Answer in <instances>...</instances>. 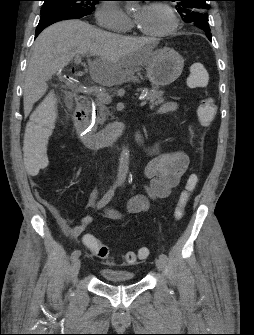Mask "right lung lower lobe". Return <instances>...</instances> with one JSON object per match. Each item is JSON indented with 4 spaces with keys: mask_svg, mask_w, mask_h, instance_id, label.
Listing matches in <instances>:
<instances>
[{
    "mask_svg": "<svg viewBox=\"0 0 254 335\" xmlns=\"http://www.w3.org/2000/svg\"><path fill=\"white\" fill-rule=\"evenodd\" d=\"M66 19H79L76 16H73L64 12H51L41 15L39 24L36 28V36L47 26Z\"/></svg>",
    "mask_w": 254,
    "mask_h": 335,
    "instance_id": "98d812e1",
    "label": "right lung lower lobe"
}]
</instances>
